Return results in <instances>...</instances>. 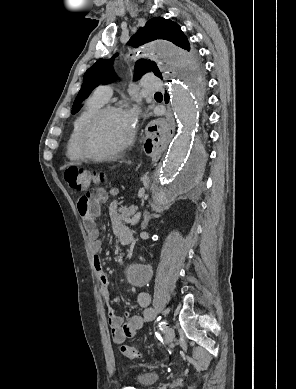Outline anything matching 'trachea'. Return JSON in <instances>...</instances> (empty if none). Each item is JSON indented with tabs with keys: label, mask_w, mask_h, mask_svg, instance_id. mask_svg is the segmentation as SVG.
<instances>
[{
	"label": "trachea",
	"mask_w": 296,
	"mask_h": 389,
	"mask_svg": "<svg viewBox=\"0 0 296 389\" xmlns=\"http://www.w3.org/2000/svg\"><path fill=\"white\" fill-rule=\"evenodd\" d=\"M155 94H156V95H161V93H160V92H156Z\"/></svg>",
	"instance_id": "3493384b"
}]
</instances>
